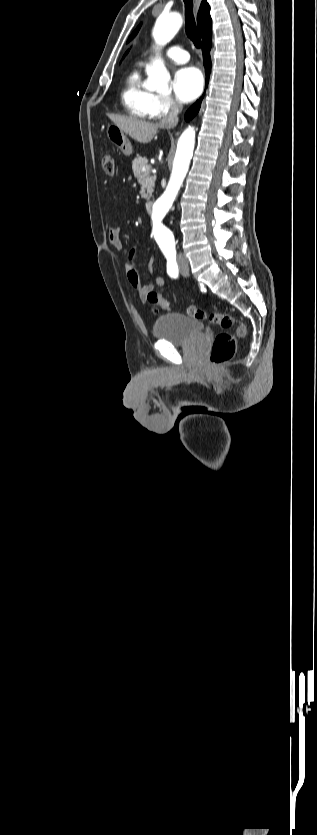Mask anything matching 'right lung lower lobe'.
Listing matches in <instances>:
<instances>
[{
	"mask_svg": "<svg viewBox=\"0 0 317 835\" xmlns=\"http://www.w3.org/2000/svg\"><path fill=\"white\" fill-rule=\"evenodd\" d=\"M211 35H212V32H210L205 38H203V45H202L203 60H204L203 64L205 66V72H206V84L208 83L210 70H211V58H210V49H211V46H212ZM201 102H202V97L193 106H191L189 108V110L187 111V113L185 115L186 121H189L190 119H192L197 114V112L200 109Z\"/></svg>",
	"mask_w": 317,
	"mask_h": 835,
	"instance_id": "obj_1",
	"label": "right lung lower lobe"
}]
</instances>
